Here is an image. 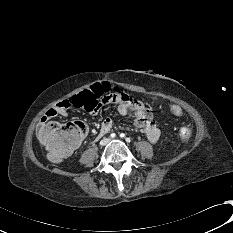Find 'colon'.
Masks as SVG:
<instances>
[{
    "label": "colon",
    "mask_w": 233,
    "mask_h": 233,
    "mask_svg": "<svg viewBox=\"0 0 233 233\" xmlns=\"http://www.w3.org/2000/svg\"><path fill=\"white\" fill-rule=\"evenodd\" d=\"M121 90L116 84L99 82L86 91L69 98V106L82 108L91 111V107L96 101H100L106 96L108 90ZM169 111L172 115L183 119L185 111L178 105L171 104ZM87 128L84 123L79 121L65 124H48L39 131V139L45 148L47 155L54 161H62L70 156L76 147L82 142ZM181 139H189L192 135L190 127H182L178 131Z\"/></svg>",
    "instance_id": "5ec220e1"
}]
</instances>
